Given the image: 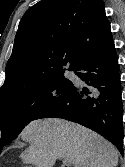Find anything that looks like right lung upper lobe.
<instances>
[{
  "mask_svg": "<svg viewBox=\"0 0 125 167\" xmlns=\"http://www.w3.org/2000/svg\"><path fill=\"white\" fill-rule=\"evenodd\" d=\"M103 0H41L22 17L0 99L74 70L109 27Z\"/></svg>",
  "mask_w": 125,
  "mask_h": 167,
  "instance_id": "right-lung-upper-lobe-1",
  "label": "right lung upper lobe"
}]
</instances>
